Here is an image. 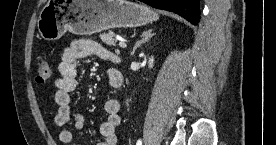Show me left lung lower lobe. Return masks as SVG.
I'll list each match as a JSON object with an SVG mask.
<instances>
[{
    "label": "left lung lower lobe",
    "mask_w": 276,
    "mask_h": 145,
    "mask_svg": "<svg viewBox=\"0 0 276 145\" xmlns=\"http://www.w3.org/2000/svg\"><path fill=\"white\" fill-rule=\"evenodd\" d=\"M155 8L171 11L184 17L193 25L200 19L199 0H140Z\"/></svg>",
    "instance_id": "left-lung-lower-lobe-1"
}]
</instances>
